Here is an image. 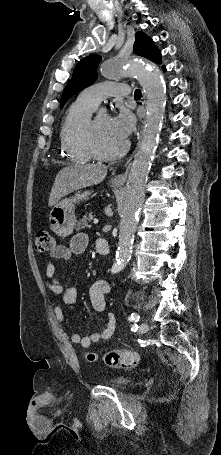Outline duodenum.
<instances>
[{
    "label": "duodenum",
    "instance_id": "410a0bca",
    "mask_svg": "<svg viewBox=\"0 0 221 455\" xmlns=\"http://www.w3.org/2000/svg\"><path fill=\"white\" fill-rule=\"evenodd\" d=\"M96 250L101 255H107L109 253V244L108 242L103 239L99 238L96 241Z\"/></svg>",
    "mask_w": 221,
    "mask_h": 455
}]
</instances>
